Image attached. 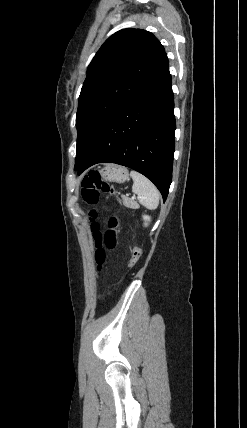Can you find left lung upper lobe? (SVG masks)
Masks as SVG:
<instances>
[{"label": "left lung upper lobe", "instance_id": "left-lung-upper-lobe-1", "mask_svg": "<svg viewBox=\"0 0 247 428\" xmlns=\"http://www.w3.org/2000/svg\"><path fill=\"white\" fill-rule=\"evenodd\" d=\"M167 64L164 47L145 30L123 29L103 43L89 65L79 96L75 164L85 160L122 102L150 83Z\"/></svg>", "mask_w": 247, "mask_h": 428}]
</instances>
